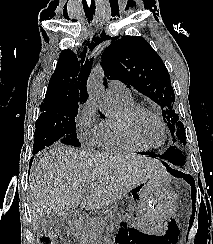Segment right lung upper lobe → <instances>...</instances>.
Masks as SVG:
<instances>
[{"label":"right lung upper lobe","instance_id":"1","mask_svg":"<svg viewBox=\"0 0 213 244\" xmlns=\"http://www.w3.org/2000/svg\"><path fill=\"white\" fill-rule=\"evenodd\" d=\"M76 56L69 49L60 53L58 63L50 78L44 103H84L87 98L86 83L92 61Z\"/></svg>","mask_w":213,"mask_h":244}]
</instances>
